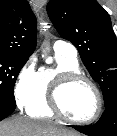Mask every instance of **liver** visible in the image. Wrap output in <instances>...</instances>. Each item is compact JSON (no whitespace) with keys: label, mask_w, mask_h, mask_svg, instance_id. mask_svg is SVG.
<instances>
[{"label":"liver","mask_w":117,"mask_h":136,"mask_svg":"<svg viewBox=\"0 0 117 136\" xmlns=\"http://www.w3.org/2000/svg\"><path fill=\"white\" fill-rule=\"evenodd\" d=\"M0 136H81L75 131L51 123L34 122L13 117L0 122Z\"/></svg>","instance_id":"obj_1"}]
</instances>
